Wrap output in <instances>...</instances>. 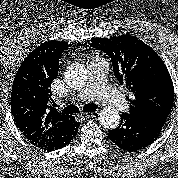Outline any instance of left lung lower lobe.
Listing matches in <instances>:
<instances>
[{"instance_id": "0a47b994", "label": "left lung lower lobe", "mask_w": 178, "mask_h": 178, "mask_svg": "<svg viewBox=\"0 0 178 178\" xmlns=\"http://www.w3.org/2000/svg\"><path fill=\"white\" fill-rule=\"evenodd\" d=\"M168 116L123 113L120 125L108 130V138L120 149L136 152L151 145L159 136Z\"/></svg>"}]
</instances>
